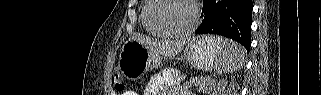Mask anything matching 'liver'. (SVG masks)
I'll use <instances>...</instances> for the list:
<instances>
[{
    "label": "liver",
    "mask_w": 321,
    "mask_h": 95,
    "mask_svg": "<svg viewBox=\"0 0 321 95\" xmlns=\"http://www.w3.org/2000/svg\"><path fill=\"white\" fill-rule=\"evenodd\" d=\"M129 40H135L145 46L147 49L153 51L158 55L164 57H174L178 55L184 46L187 44V40H174V41H157L142 35H133Z\"/></svg>",
    "instance_id": "liver-1"
}]
</instances>
